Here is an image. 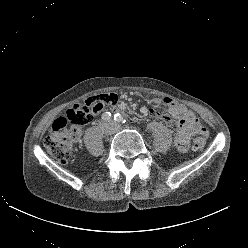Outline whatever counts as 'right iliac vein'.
I'll return each mask as SVG.
<instances>
[{
	"label": "right iliac vein",
	"instance_id": "1",
	"mask_svg": "<svg viewBox=\"0 0 248 248\" xmlns=\"http://www.w3.org/2000/svg\"><path fill=\"white\" fill-rule=\"evenodd\" d=\"M106 134H111V128L109 126H105L104 128Z\"/></svg>",
	"mask_w": 248,
	"mask_h": 248
}]
</instances>
